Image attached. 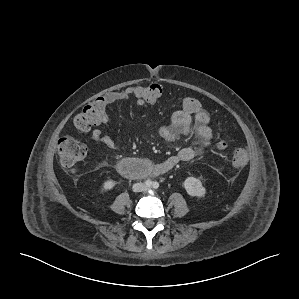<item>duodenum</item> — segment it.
Listing matches in <instances>:
<instances>
[{"mask_svg": "<svg viewBox=\"0 0 299 299\" xmlns=\"http://www.w3.org/2000/svg\"><path fill=\"white\" fill-rule=\"evenodd\" d=\"M149 169L148 161L139 158H127L117 163L119 173L130 178L146 177Z\"/></svg>", "mask_w": 299, "mask_h": 299, "instance_id": "410a0bca", "label": "duodenum"}]
</instances>
